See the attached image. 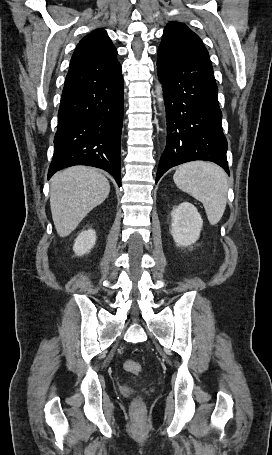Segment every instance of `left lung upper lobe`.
<instances>
[{
	"label": "left lung upper lobe",
	"mask_w": 272,
	"mask_h": 455,
	"mask_svg": "<svg viewBox=\"0 0 272 455\" xmlns=\"http://www.w3.org/2000/svg\"><path fill=\"white\" fill-rule=\"evenodd\" d=\"M158 59L173 67L183 64L212 66L200 37L180 22H170L165 27Z\"/></svg>",
	"instance_id": "obj_1"
}]
</instances>
